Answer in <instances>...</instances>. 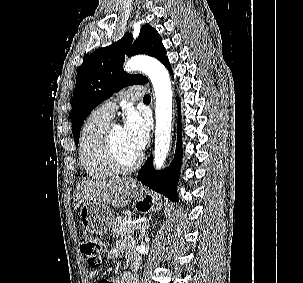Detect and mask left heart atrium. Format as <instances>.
I'll return each mask as SVG.
<instances>
[{
    "instance_id": "left-heart-atrium-1",
    "label": "left heart atrium",
    "mask_w": 303,
    "mask_h": 283,
    "mask_svg": "<svg viewBox=\"0 0 303 283\" xmlns=\"http://www.w3.org/2000/svg\"><path fill=\"white\" fill-rule=\"evenodd\" d=\"M123 134L130 147L140 153L145 147L149 137V120L136 110H130L122 127Z\"/></svg>"
}]
</instances>
